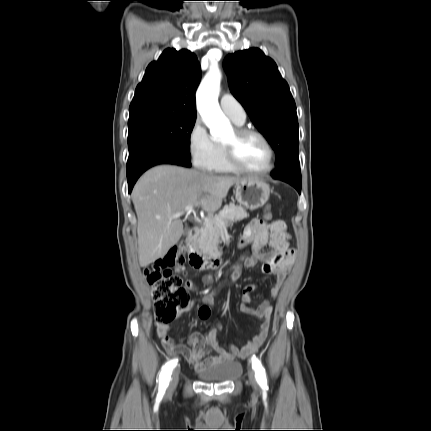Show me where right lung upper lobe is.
I'll list each match as a JSON object with an SVG mask.
<instances>
[{"label":"right lung upper lobe","mask_w":431,"mask_h":431,"mask_svg":"<svg viewBox=\"0 0 431 431\" xmlns=\"http://www.w3.org/2000/svg\"><path fill=\"white\" fill-rule=\"evenodd\" d=\"M200 66L188 50L166 49L146 69L130 104L129 118L150 114L196 116L195 91Z\"/></svg>","instance_id":"obj_1"}]
</instances>
